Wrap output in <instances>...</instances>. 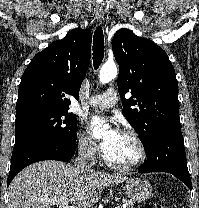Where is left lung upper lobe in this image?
<instances>
[{"label": "left lung upper lobe", "instance_id": "left-lung-upper-lobe-1", "mask_svg": "<svg viewBox=\"0 0 199 208\" xmlns=\"http://www.w3.org/2000/svg\"><path fill=\"white\" fill-rule=\"evenodd\" d=\"M119 64L120 96L127 120L140 135L144 149L163 130L180 127L178 82L166 52L151 40L127 29L118 30L112 40Z\"/></svg>", "mask_w": 199, "mask_h": 208}]
</instances>
